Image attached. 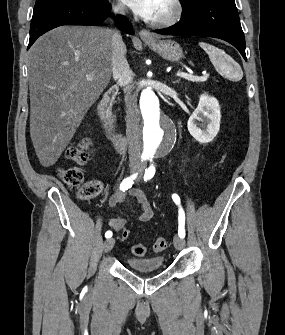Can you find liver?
I'll return each instance as SVG.
<instances>
[{
    "instance_id": "obj_1",
    "label": "liver",
    "mask_w": 285,
    "mask_h": 335,
    "mask_svg": "<svg viewBox=\"0 0 285 335\" xmlns=\"http://www.w3.org/2000/svg\"><path fill=\"white\" fill-rule=\"evenodd\" d=\"M87 74L93 80H86ZM28 78L30 136L41 166L49 168L110 84L111 32L97 26L47 32L29 50Z\"/></svg>"
}]
</instances>
